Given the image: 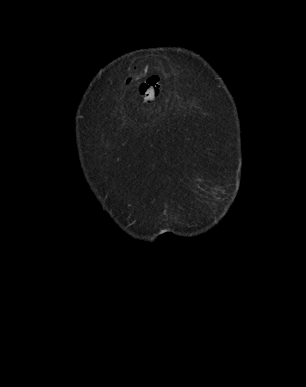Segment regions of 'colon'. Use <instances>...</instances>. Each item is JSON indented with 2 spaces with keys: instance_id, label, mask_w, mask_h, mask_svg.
<instances>
[{
  "instance_id": "obj_1",
  "label": "colon",
  "mask_w": 306,
  "mask_h": 387,
  "mask_svg": "<svg viewBox=\"0 0 306 387\" xmlns=\"http://www.w3.org/2000/svg\"><path fill=\"white\" fill-rule=\"evenodd\" d=\"M161 84L157 79L148 78L141 84V94L146 102H153L160 94Z\"/></svg>"
}]
</instances>
